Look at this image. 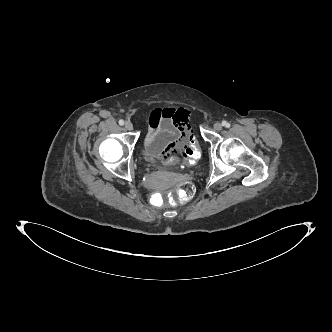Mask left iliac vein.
I'll return each instance as SVG.
<instances>
[{
	"instance_id": "obj_1",
	"label": "left iliac vein",
	"mask_w": 332,
	"mask_h": 332,
	"mask_svg": "<svg viewBox=\"0 0 332 332\" xmlns=\"http://www.w3.org/2000/svg\"><path fill=\"white\" fill-rule=\"evenodd\" d=\"M222 124L220 123V122H216L215 124H214V129L216 130V131H220V130H222Z\"/></svg>"
}]
</instances>
